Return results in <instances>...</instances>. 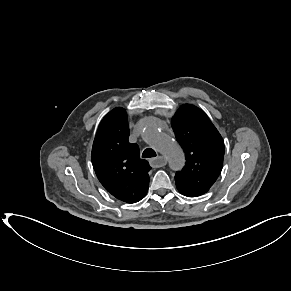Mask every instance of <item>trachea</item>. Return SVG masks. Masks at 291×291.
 <instances>
[{"instance_id":"obj_1","label":"trachea","mask_w":291,"mask_h":291,"mask_svg":"<svg viewBox=\"0 0 291 291\" xmlns=\"http://www.w3.org/2000/svg\"><path fill=\"white\" fill-rule=\"evenodd\" d=\"M156 156V152L151 149V148H147L143 151L142 157L143 158H151V157H155Z\"/></svg>"}]
</instances>
